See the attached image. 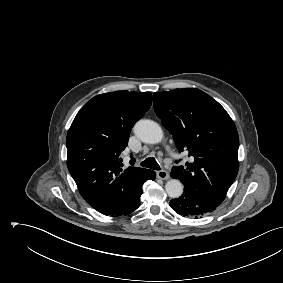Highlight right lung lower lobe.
I'll return each mask as SVG.
<instances>
[{
  "label": "right lung lower lobe",
  "instance_id": "1",
  "mask_svg": "<svg viewBox=\"0 0 283 283\" xmlns=\"http://www.w3.org/2000/svg\"><path fill=\"white\" fill-rule=\"evenodd\" d=\"M155 176H156V173L154 171L151 170V172H149L147 175H145V180H154L155 179ZM140 206V203L137 202L136 205H134L127 213H125L124 215H127V214H130L131 212H133L134 210H136L138 207Z\"/></svg>",
  "mask_w": 283,
  "mask_h": 283
}]
</instances>
